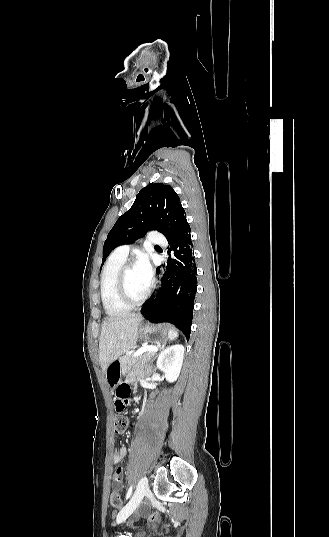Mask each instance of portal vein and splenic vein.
Here are the masks:
<instances>
[{
	"label": "portal vein and splenic vein",
	"mask_w": 329,
	"mask_h": 537,
	"mask_svg": "<svg viewBox=\"0 0 329 537\" xmlns=\"http://www.w3.org/2000/svg\"><path fill=\"white\" fill-rule=\"evenodd\" d=\"M156 350H157V347H155V346H148V347L140 348L136 352L133 353V358H136L139 355H141V354H143V353H145L147 351H156Z\"/></svg>",
	"instance_id": "portal-vein-and-splenic-vein-1"
}]
</instances>
